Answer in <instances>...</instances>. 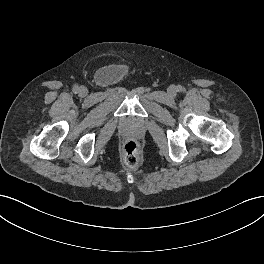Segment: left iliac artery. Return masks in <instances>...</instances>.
<instances>
[{
  "label": "left iliac artery",
  "instance_id": "left-iliac-artery-1",
  "mask_svg": "<svg viewBox=\"0 0 264 264\" xmlns=\"http://www.w3.org/2000/svg\"><path fill=\"white\" fill-rule=\"evenodd\" d=\"M177 89H178V91H182V90H183V87L179 85V86L177 87Z\"/></svg>",
  "mask_w": 264,
  "mask_h": 264
}]
</instances>
